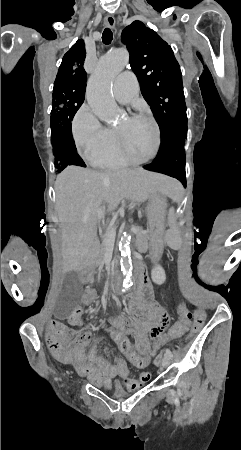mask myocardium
<instances>
[{"label": "myocardium", "mask_w": 241, "mask_h": 450, "mask_svg": "<svg viewBox=\"0 0 241 450\" xmlns=\"http://www.w3.org/2000/svg\"><path fill=\"white\" fill-rule=\"evenodd\" d=\"M127 59V58H126ZM153 127H158V122H153ZM117 131V130H116ZM125 131H124V129L123 128H120V129H118V131H117V137H116V142L119 144V149H122V153H125V155L124 154H122V155H124L125 156V158H130V156H129V153L127 152V148H124V140H123V133H124ZM161 130H156V132L154 133V136L156 137V140H154V148L152 149V153H153V157H158V150L157 149H159V143L160 142H162L163 141V138L162 137H160V135H161ZM129 160V159H128ZM151 160H145V162H150Z\"/></svg>", "instance_id": "1"}]
</instances>
